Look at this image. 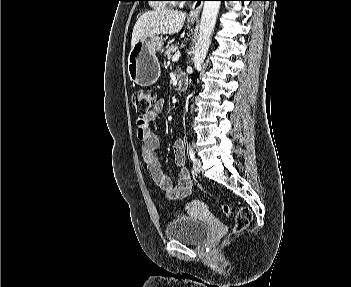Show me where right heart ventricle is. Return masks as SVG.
Wrapping results in <instances>:
<instances>
[{
  "mask_svg": "<svg viewBox=\"0 0 351 287\" xmlns=\"http://www.w3.org/2000/svg\"><path fill=\"white\" fill-rule=\"evenodd\" d=\"M154 2H159V3H154V4H153V7H154L155 9L160 10V9H165V8H167V5H166L165 3H163L162 1H157V0H155Z\"/></svg>",
  "mask_w": 351,
  "mask_h": 287,
  "instance_id": "1",
  "label": "right heart ventricle"
}]
</instances>
